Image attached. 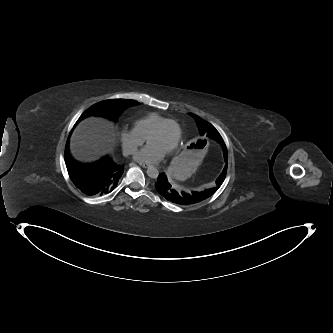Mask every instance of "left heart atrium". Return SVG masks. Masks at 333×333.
I'll list each match as a JSON object with an SVG mask.
<instances>
[{
  "mask_svg": "<svg viewBox=\"0 0 333 333\" xmlns=\"http://www.w3.org/2000/svg\"><path fill=\"white\" fill-rule=\"evenodd\" d=\"M167 150L160 148L156 144L149 143L135 155L137 161L156 163L161 160Z\"/></svg>",
  "mask_w": 333,
  "mask_h": 333,
  "instance_id": "left-heart-atrium-1",
  "label": "left heart atrium"
}]
</instances>
